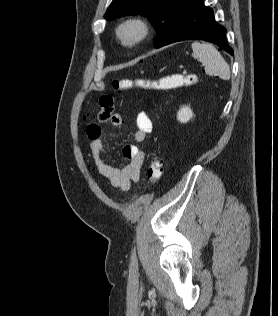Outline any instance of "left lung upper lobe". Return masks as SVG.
Segmentation results:
<instances>
[{
	"instance_id": "1",
	"label": "left lung upper lobe",
	"mask_w": 278,
	"mask_h": 316,
	"mask_svg": "<svg viewBox=\"0 0 278 316\" xmlns=\"http://www.w3.org/2000/svg\"><path fill=\"white\" fill-rule=\"evenodd\" d=\"M190 0H113L104 17L108 20L129 14H141L154 25L155 48L162 47L174 32Z\"/></svg>"
}]
</instances>
